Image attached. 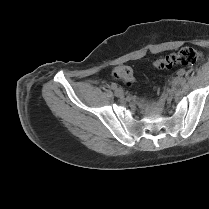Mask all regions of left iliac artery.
I'll use <instances>...</instances> for the list:
<instances>
[{"label": "left iliac artery", "mask_w": 209, "mask_h": 209, "mask_svg": "<svg viewBox=\"0 0 209 209\" xmlns=\"http://www.w3.org/2000/svg\"><path fill=\"white\" fill-rule=\"evenodd\" d=\"M177 75L180 76V77H182L184 75L183 70H178Z\"/></svg>", "instance_id": "44dca946"}]
</instances>
